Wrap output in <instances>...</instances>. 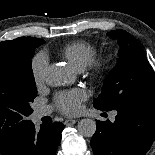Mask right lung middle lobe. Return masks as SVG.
<instances>
[{
	"mask_svg": "<svg viewBox=\"0 0 155 155\" xmlns=\"http://www.w3.org/2000/svg\"><path fill=\"white\" fill-rule=\"evenodd\" d=\"M38 39L0 49V147L12 142L32 121L30 104L37 96L31 68L34 50L43 44Z\"/></svg>",
	"mask_w": 155,
	"mask_h": 155,
	"instance_id": "1",
	"label": "right lung middle lobe"
}]
</instances>
